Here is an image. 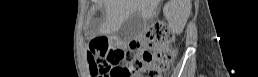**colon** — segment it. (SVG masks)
Listing matches in <instances>:
<instances>
[{"instance_id":"5ec220e1","label":"colon","mask_w":258,"mask_h":77,"mask_svg":"<svg viewBox=\"0 0 258 77\" xmlns=\"http://www.w3.org/2000/svg\"><path fill=\"white\" fill-rule=\"evenodd\" d=\"M92 46L97 52L91 70L106 77H162L176 56L173 35L164 23H153L128 48L114 47L100 36Z\"/></svg>"}]
</instances>
